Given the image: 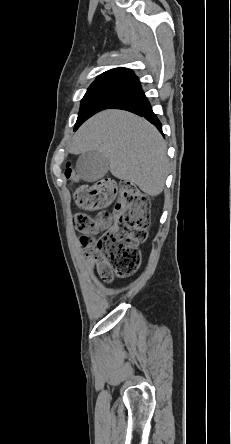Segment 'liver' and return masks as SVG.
I'll use <instances>...</instances> for the list:
<instances>
[{
  "label": "liver",
  "instance_id": "1",
  "mask_svg": "<svg viewBox=\"0 0 231 444\" xmlns=\"http://www.w3.org/2000/svg\"><path fill=\"white\" fill-rule=\"evenodd\" d=\"M166 144L147 120L124 110H104L75 133L69 152L98 151L109 161L112 175L159 195L168 175Z\"/></svg>",
  "mask_w": 231,
  "mask_h": 444
}]
</instances>
